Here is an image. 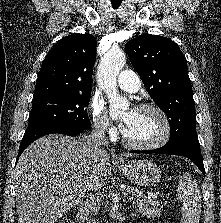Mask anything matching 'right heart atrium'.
<instances>
[{
  "label": "right heart atrium",
  "mask_w": 221,
  "mask_h": 223,
  "mask_svg": "<svg viewBox=\"0 0 221 223\" xmlns=\"http://www.w3.org/2000/svg\"><path fill=\"white\" fill-rule=\"evenodd\" d=\"M88 114L95 131L101 135H113L115 127L107 118L103 105L96 99H91L88 106Z\"/></svg>",
  "instance_id": "d8ad5b80"
}]
</instances>
